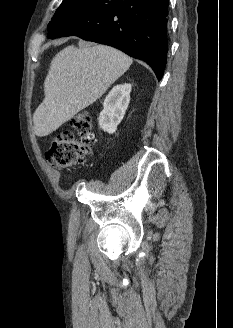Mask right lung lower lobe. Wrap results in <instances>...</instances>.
<instances>
[{
    "mask_svg": "<svg viewBox=\"0 0 233 328\" xmlns=\"http://www.w3.org/2000/svg\"><path fill=\"white\" fill-rule=\"evenodd\" d=\"M168 0H94L58 20L48 38L78 36L144 60L161 80L167 59Z\"/></svg>",
    "mask_w": 233,
    "mask_h": 328,
    "instance_id": "98d812e1",
    "label": "right lung lower lobe"
}]
</instances>
